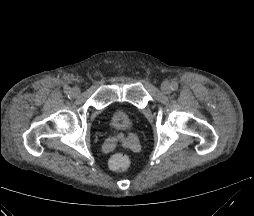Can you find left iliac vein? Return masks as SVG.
Here are the masks:
<instances>
[{
  "label": "left iliac vein",
  "instance_id": "left-iliac-vein-1",
  "mask_svg": "<svg viewBox=\"0 0 254 216\" xmlns=\"http://www.w3.org/2000/svg\"><path fill=\"white\" fill-rule=\"evenodd\" d=\"M161 90L164 94H170L171 93V86L169 82L165 81L161 84Z\"/></svg>",
  "mask_w": 254,
  "mask_h": 216
}]
</instances>
